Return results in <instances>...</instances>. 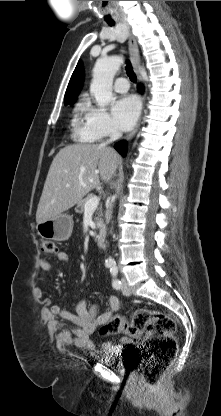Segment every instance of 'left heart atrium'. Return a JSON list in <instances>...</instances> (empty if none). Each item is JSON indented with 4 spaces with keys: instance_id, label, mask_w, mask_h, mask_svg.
<instances>
[{
    "instance_id": "obj_1",
    "label": "left heart atrium",
    "mask_w": 221,
    "mask_h": 416,
    "mask_svg": "<svg viewBox=\"0 0 221 416\" xmlns=\"http://www.w3.org/2000/svg\"><path fill=\"white\" fill-rule=\"evenodd\" d=\"M112 113L121 130H130L140 113L139 100L133 95H124L114 102Z\"/></svg>"
}]
</instances>
